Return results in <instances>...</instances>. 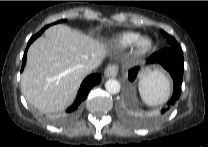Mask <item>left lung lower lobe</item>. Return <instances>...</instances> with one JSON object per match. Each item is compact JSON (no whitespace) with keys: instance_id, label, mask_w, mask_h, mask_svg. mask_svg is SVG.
<instances>
[{"instance_id":"0a47b994","label":"left lung lower lobe","mask_w":208,"mask_h":147,"mask_svg":"<svg viewBox=\"0 0 208 147\" xmlns=\"http://www.w3.org/2000/svg\"><path fill=\"white\" fill-rule=\"evenodd\" d=\"M147 63H160L171 75L174 82V91L171 99L168 101L167 106L162 108L161 113H165L173 106L181 94L180 86L183 81L184 72V59L181 50L175 48H165L153 55H151ZM138 73V68L129 71L128 76L133 81Z\"/></svg>"}]
</instances>
